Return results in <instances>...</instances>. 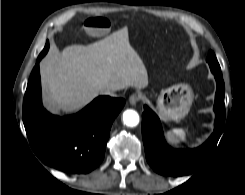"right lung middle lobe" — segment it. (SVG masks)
<instances>
[{"mask_svg": "<svg viewBox=\"0 0 245 195\" xmlns=\"http://www.w3.org/2000/svg\"><path fill=\"white\" fill-rule=\"evenodd\" d=\"M47 51H48V48H45V49L43 50L44 55L47 53Z\"/></svg>", "mask_w": 245, "mask_h": 195, "instance_id": "obj_1", "label": "right lung middle lobe"}]
</instances>
